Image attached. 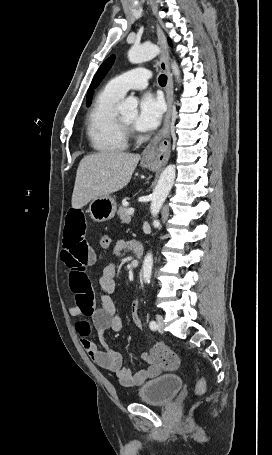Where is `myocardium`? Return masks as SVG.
I'll return each mask as SVG.
<instances>
[{
	"label": "myocardium",
	"mask_w": 272,
	"mask_h": 455,
	"mask_svg": "<svg viewBox=\"0 0 272 455\" xmlns=\"http://www.w3.org/2000/svg\"><path fill=\"white\" fill-rule=\"evenodd\" d=\"M117 121L119 124V127L125 136V138L128 140L133 136V127L131 124L126 123L123 118L121 117L120 114L117 113Z\"/></svg>",
	"instance_id": "obj_1"
}]
</instances>
